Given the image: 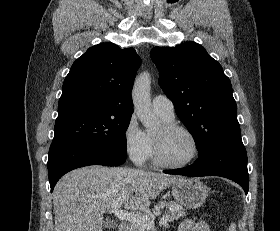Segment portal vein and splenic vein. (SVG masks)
<instances>
[{"label": "portal vein and splenic vein", "instance_id": "1", "mask_svg": "<svg viewBox=\"0 0 280 231\" xmlns=\"http://www.w3.org/2000/svg\"><path fill=\"white\" fill-rule=\"evenodd\" d=\"M113 213L119 217V219H124V221H131V223H139L142 227H146V229H152L155 227V223L153 219L147 217V215H140V213H132V211H125V209H121V207H113ZM167 221H169V215H163L159 221V225H168Z\"/></svg>", "mask_w": 280, "mask_h": 231}]
</instances>
